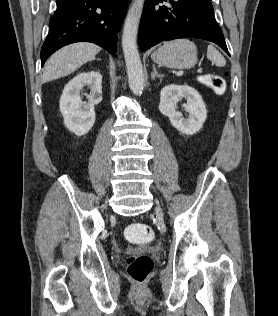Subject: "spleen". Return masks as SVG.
I'll list each match as a JSON object with an SVG mask.
<instances>
[{"instance_id": "obj_1", "label": "spleen", "mask_w": 278, "mask_h": 316, "mask_svg": "<svg viewBox=\"0 0 278 316\" xmlns=\"http://www.w3.org/2000/svg\"><path fill=\"white\" fill-rule=\"evenodd\" d=\"M207 58L214 62L217 66H224L226 61L221 53L212 45L207 48Z\"/></svg>"}]
</instances>
